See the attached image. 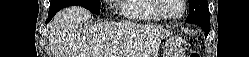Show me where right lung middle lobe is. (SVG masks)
<instances>
[{"instance_id": "dd1d6c3e", "label": "right lung middle lobe", "mask_w": 249, "mask_h": 57, "mask_svg": "<svg viewBox=\"0 0 249 57\" xmlns=\"http://www.w3.org/2000/svg\"><path fill=\"white\" fill-rule=\"evenodd\" d=\"M100 0H51L50 9H62L72 5L82 6L90 12L100 14Z\"/></svg>"}]
</instances>
